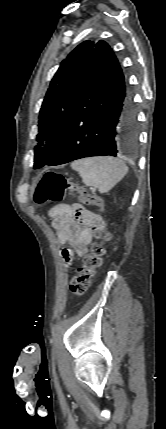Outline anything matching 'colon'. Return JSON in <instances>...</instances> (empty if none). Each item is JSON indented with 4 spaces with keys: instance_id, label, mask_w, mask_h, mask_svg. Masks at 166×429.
Instances as JSON below:
<instances>
[{
    "instance_id": "1",
    "label": "colon",
    "mask_w": 166,
    "mask_h": 429,
    "mask_svg": "<svg viewBox=\"0 0 166 429\" xmlns=\"http://www.w3.org/2000/svg\"><path fill=\"white\" fill-rule=\"evenodd\" d=\"M67 195L86 204H94L101 211L104 210V204L97 196L82 194L66 177L55 172L44 174L35 190L34 200L38 204L60 202ZM109 238L110 235L106 229L99 232L98 241L91 246V252L85 257L77 274L70 281L69 289L73 295L81 296L87 292L97 268L101 265L102 256L105 254L104 244Z\"/></svg>"
}]
</instances>
